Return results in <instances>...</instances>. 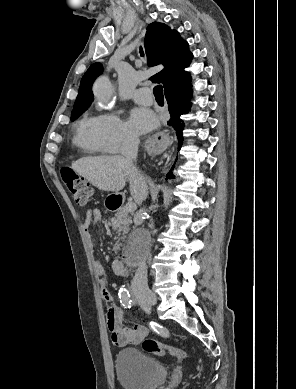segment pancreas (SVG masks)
<instances>
[{
	"label": "pancreas",
	"mask_w": 296,
	"mask_h": 389,
	"mask_svg": "<svg viewBox=\"0 0 296 389\" xmlns=\"http://www.w3.org/2000/svg\"><path fill=\"white\" fill-rule=\"evenodd\" d=\"M131 223L132 217L130 216L129 211H127L125 207H122L117 211L114 218L111 219L109 225L119 237L121 234L124 236L128 233Z\"/></svg>",
	"instance_id": "obj_1"
}]
</instances>
